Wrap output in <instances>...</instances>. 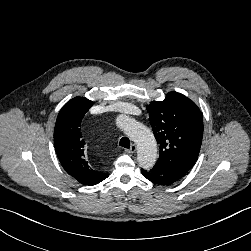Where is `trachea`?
Segmentation results:
<instances>
[{
    "mask_svg": "<svg viewBox=\"0 0 251 251\" xmlns=\"http://www.w3.org/2000/svg\"><path fill=\"white\" fill-rule=\"evenodd\" d=\"M119 145L124 148H130V140L127 137H122Z\"/></svg>",
    "mask_w": 251,
    "mask_h": 251,
    "instance_id": "3493384b",
    "label": "trachea"
}]
</instances>
